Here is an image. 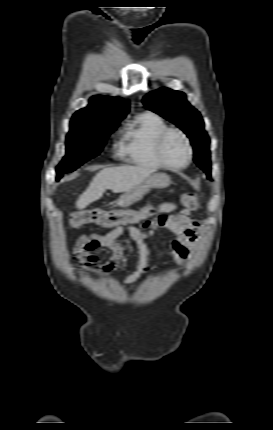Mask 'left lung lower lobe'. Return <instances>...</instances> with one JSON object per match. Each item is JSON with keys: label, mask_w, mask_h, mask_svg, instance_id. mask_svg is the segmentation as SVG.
I'll use <instances>...</instances> for the list:
<instances>
[{"label": "left lung lower lobe", "mask_w": 273, "mask_h": 430, "mask_svg": "<svg viewBox=\"0 0 273 430\" xmlns=\"http://www.w3.org/2000/svg\"><path fill=\"white\" fill-rule=\"evenodd\" d=\"M210 169H211L210 166H208V167H205L203 170L206 172L208 178L211 179V171H210Z\"/></svg>", "instance_id": "obj_1"}]
</instances>
